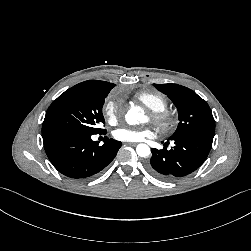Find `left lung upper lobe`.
Wrapping results in <instances>:
<instances>
[{"label":"left lung upper lobe","mask_w":251,"mask_h":251,"mask_svg":"<svg viewBox=\"0 0 251 251\" xmlns=\"http://www.w3.org/2000/svg\"><path fill=\"white\" fill-rule=\"evenodd\" d=\"M159 91L168 95L178 109L179 124L174 139L187 135L214 137L215 121L210 107L191 89L178 84H153Z\"/></svg>","instance_id":"5c2ea615"}]
</instances>
